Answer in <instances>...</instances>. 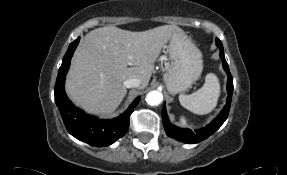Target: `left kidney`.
<instances>
[{
    "label": "left kidney",
    "mask_w": 287,
    "mask_h": 175,
    "mask_svg": "<svg viewBox=\"0 0 287 175\" xmlns=\"http://www.w3.org/2000/svg\"><path fill=\"white\" fill-rule=\"evenodd\" d=\"M182 122H185L184 118H181Z\"/></svg>",
    "instance_id": "1"
}]
</instances>
